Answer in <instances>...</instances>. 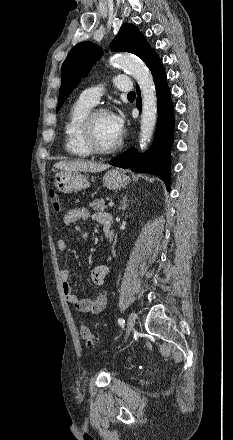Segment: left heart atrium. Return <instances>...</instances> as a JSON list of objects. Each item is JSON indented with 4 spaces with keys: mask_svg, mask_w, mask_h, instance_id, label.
Instances as JSON below:
<instances>
[{
    "mask_svg": "<svg viewBox=\"0 0 233 440\" xmlns=\"http://www.w3.org/2000/svg\"><path fill=\"white\" fill-rule=\"evenodd\" d=\"M111 122L116 132L121 136L124 130V119L119 114H110Z\"/></svg>",
    "mask_w": 233,
    "mask_h": 440,
    "instance_id": "obj_1",
    "label": "left heart atrium"
}]
</instances>
